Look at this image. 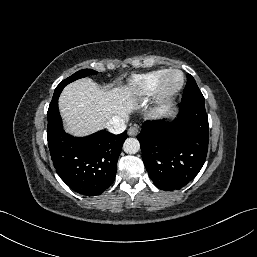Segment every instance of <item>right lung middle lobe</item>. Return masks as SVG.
Segmentation results:
<instances>
[{
    "label": "right lung middle lobe",
    "instance_id": "obj_1",
    "mask_svg": "<svg viewBox=\"0 0 257 257\" xmlns=\"http://www.w3.org/2000/svg\"><path fill=\"white\" fill-rule=\"evenodd\" d=\"M97 72L92 70V69H83V70H80V71H77L76 73H74L73 75H71L70 77H68L67 79L63 80L55 89L54 91V95H53V98H56V97H59L62 89L69 83L77 80V79H80V78H83V77H86L88 75H94L96 74Z\"/></svg>",
    "mask_w": 257,
    "mask_h": 257
}]
</instances>
